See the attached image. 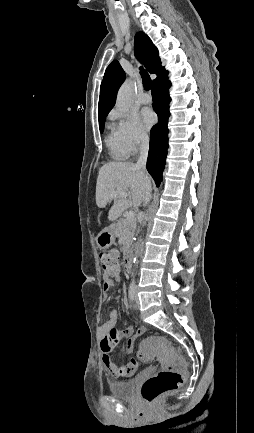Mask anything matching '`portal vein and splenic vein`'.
Listing matches in <instances>:
<instances>
[{
  "label": "portal vein and splenic vein",
  "instance_id": "obj_1",
  "mask_svg": "<svg viewBox=\"0 0 254 433\" xmlns=\"http://www.w3.org/2000/svg\"><path fill=\"white\" fill-rule=\"evenodd\" d=\"M117 196H121V197L127 198L128 195L125 192H113L111 194V198H116ZM126 218H127V220H133L135 218V212L134 211H129Z\"/></svg>",
  "mask_w": 254,
  "mask_h": 433
}]
</instances>
